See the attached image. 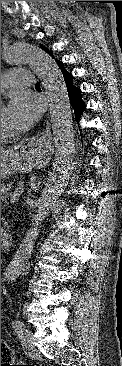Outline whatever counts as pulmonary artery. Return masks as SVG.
<instances>
[{"instance_id":"obj_1","label":"pulmonary artery","mask_w":122,"mask_h":366,"mask_svg":"<svg viewBox=\"0 0 122 366\" xmlns=\"http://www.w3.org/2000/svg\"><path fill=\"white\" fill-rule=\"evenodd\" d=\"M34 73L22 69H9L1 74V90L10 87H32Z\"/></svg>"}]
</instances>
